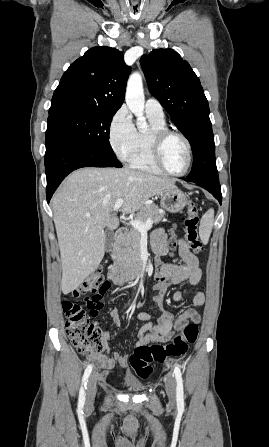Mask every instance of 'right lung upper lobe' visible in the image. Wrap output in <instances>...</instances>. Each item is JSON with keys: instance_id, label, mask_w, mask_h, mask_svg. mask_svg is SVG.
<instances>
[{"instance_id": "obj_1", "label": "right lung upper lobe", "mask_w": 269, "mask_h": 447, "mask_svg": "<svg viewBox=\"0 0 269 447\" xmlns=\"http://www.w3.org/2000/svg\"><path fill=\"white\" fill-rule=\"evenodd\" d=\"M130 68L115 48L94 47L70 65L56 88L49 113L64 110L117 111Z\"/></svg>"}]
</instances>
